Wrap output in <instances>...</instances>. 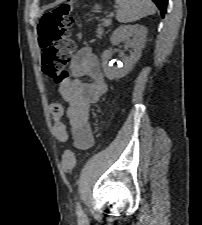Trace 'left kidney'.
Here are the masks:
<instances>
[{"label":"left kidney","mask_w":202,"mask_h":225,"mask_svg":"<svg viewBox=\"0 0 202 225\" xmlns=\"http://www.w3.org/2000/svg\"><path fill=\"white\" fill-rule=\"evenodd\" d=\"M147 33V28L139 24L121 25L113 32L110 38L112 45L125 42L127 47L133 48V52L130 56L124 57V64L122 66L117 67H114L109 63L112 52L109 50L103 52L102 67L108 79H120L131 71L134 64L141 56V51L144 47Z\"/></svg>","instance_id":"obj_1"}]
</instances>
